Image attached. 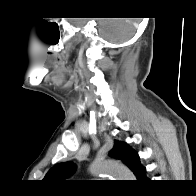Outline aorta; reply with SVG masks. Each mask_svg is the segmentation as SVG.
<instances>
[{
  "instance_id": "1",
  "label": "aorta",
  "mask_w": 196,
  "mask_h": 196,
  "mask_svg": "<svg viewBox=\"0 0 196 196\" xmlns=\"http://www.w3.org/2000/svg\"><path fill=\"white\" fill-rule=\"evenodd\" d=\"M90 171L94 175L108 174L117 180H134L133 173L115 160H95L90 166Z\"/></svg>"
}]
</instances>
